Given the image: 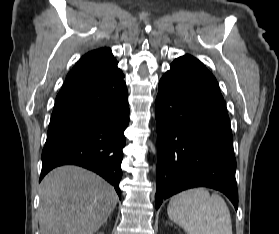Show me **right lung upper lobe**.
<instances>
[{
    "label": "right lung upper lobe",
    "mask_w": 279,
    "mask_h": 234,
    "mask_svg": "<svg viewBox=\"0 0 279 234\" xmlns=\"http://www.w3.org/2000/svg\"><path fill=\"white\" fill-rule=\"evenodd\" d=\"M117 63L110 48L90 51L68 73L62 89L97 79L110 72Z\"/></svg>",
    "instance_id": "right-lung-upper-lobe-1"
}]
</instances>
